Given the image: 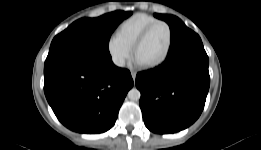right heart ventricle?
Segmentation results:
<instances>
[{"label":"right heart ventricle","instance_id":"right-heart-ventricle-1","mask_svg":"<svg viewBox=\"0 0 261 150\" xmlns=\"http://www.w3.org/2000/svg\"><path fill=\"white\" fill-rule=\"evenodd\" d=\"M158 19L147 13H135L123 20L116 28L115 35L130 48L140 33Z\"/></svg>","mask_w":261,"mask_h":150}]
</instances>
